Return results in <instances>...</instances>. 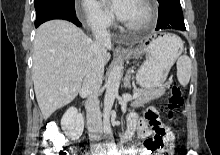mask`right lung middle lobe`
<instances>
[{
    "label": "right lung middle lobe",
    "mask_w": 220,
    "mask_h": 155,
    "mask_svg": "<svg viewBox=\"0 0 220 155\" xmlns=\"http://www.w3.org/2000/svg\"><path fill=\"white\" fill-rule=\"evenodd\" d=\"M36 18L53 11L75 13L74 0H34Z\"/></svg>",
    "instance_id": "right-lung-middle-lobe-1"
}]
</instances>
